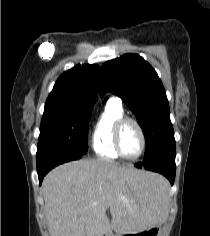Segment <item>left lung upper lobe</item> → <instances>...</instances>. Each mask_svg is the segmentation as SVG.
Here are the masks:
<instances>
[{"mask_svg": "<svg viewBox=\"0 0 210 236\" xmlns=\"http://www.w3.org/2000/svg\"><path fill=\"white\" fill-rule=\"evenodd\" d=\"M110 91L123 99L141 126L145 158L174 138L167 96L156 71L137 54L107 61L101 71L100 93Z\"/></svg>", "mask_w": 210, "mask_h": 236, "instance_id": "1", "label": "left lung upper lobe"}]
</instances>
